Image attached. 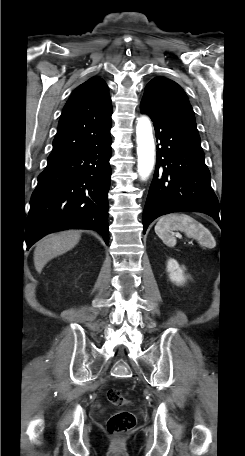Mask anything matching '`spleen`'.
<instances>
[{
    "mask_svg": "<svg viewBox=\"0 0 245 456\" xmlns=\"http://www.w3.org/2000/svg\"><path fill=\"white\" fill-rule=\"evenodd\" d=\"M172 231L184 232L188 237L198 240L201 245L206 247L215 245L210 231L187 214L176 213L163 216L155 225V233L169 247L176 245V238Z\"/></svg>",
    "mask_w": 245,
    "mask_h": 456,
    "instance_id": "3e777b00",
    "label": "spleen"
}]
</instances>
